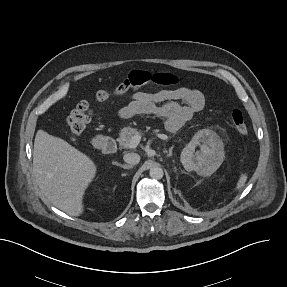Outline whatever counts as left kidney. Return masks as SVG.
<instances>
[{"label":"left kidney","instance_id":"obj_1","mask_svg":"<svg viewBox=\"0 0 287 287\" xmlns=\"http://www.w3.org/2000/svg\"><path fill=\"white\" fill-rule=\"evenodd\" d=\"M199 151H195L196 146ZM224 158L223 143L210 129H204L183 149L181 162L187 171H196L198 175L211 176L222 164Z\"/></svg>","mask_w":287,"mask_h":287}]
</instances>
